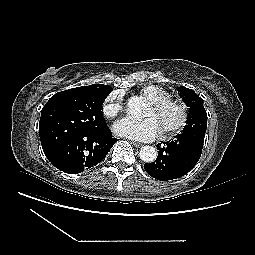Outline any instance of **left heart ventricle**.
<instances>
[{"label": "left heart ventricle", "instance_id": "left-heart-ventricle-1", "mask_svg": "<svg viewBox=\"0 0 255 255\" xmlns=\"http://www.w3.org/2000/svg\"><path fill=\"white\" fill-rule=\"evenodd\" d=\"M144 118L147 117H154L158 120L162 131L165 127L170 126L174 123L177 122L178 118H179V113L176 109L174 108H168L165 111H163L162 113H158L157 111H155L154 107L150 104L147 108V110L145 111Z\"/></svg>", "mask_w": 255, "mask_h": 255}]
</instances>
